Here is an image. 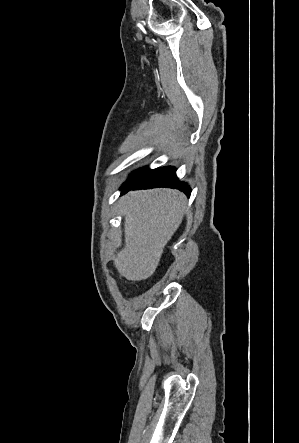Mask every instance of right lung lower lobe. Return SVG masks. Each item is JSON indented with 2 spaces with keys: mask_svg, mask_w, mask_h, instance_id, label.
I'll list each match as a JSON object with an SVG mask.
<instances>
[{
  "mask_svg": "<svg viewBox=\"0 0 299 443\" xmlns=\"http://www.w3.org/2000/svg\"><path fill=\"white\" fill-rule=\"evenodd\" d=\"M156 187L176 188L187 196H190L191 189L185 182H179L174 167H163L149 171L146 175L135 182L124 184L121 187L122 194L131 189H149Z\"/></svg>",
  "mask_w": 299,
  "mask_h": 443,
  "instance_id": "98d812e1",
  "label": "right lung lower lobe"
}]
</instances>
